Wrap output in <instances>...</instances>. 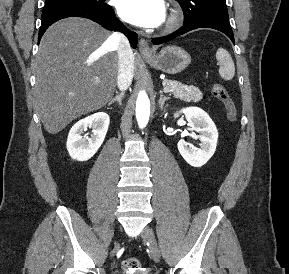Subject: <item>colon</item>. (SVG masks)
I'll return each instance as SVG.
<instances>
[{"instance_id": "5ec220e1", "label": "colon", "mask_w": 289, "mask_h": 274, "mask_svg": "<svg viewBox=\"0 0 289 274\" xmlns=\"http://www.w3.org/2000/svg\"><path fill=\"white\" fill-rule=\"evenodd\" d=\"M211 92L213 96L224 105L228 120L235 122L237 119V108L227 89L219 83H213L211 85ZM122 265L123 268L129 272H136L141 269V263L136 257L125 259Z\"/></svg>"}]
</instances>
